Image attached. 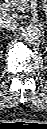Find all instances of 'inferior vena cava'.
Instances as JSON below:
<instances>
[{
    "instance_id": "602c4592",
    "label": "inferior vena cava",
    "mask_w": 47,
    "mask_h": 129,
    "mask_svg": "<svg viewBox=\"0 0 47 129\" xmlns=\"http://www.w3.org/2000/svg\"><path fill=\"white\" fill-rule=\"evenodd\" d=\"M0 27L7 29L9 31H13L18 27V23L15 18L11 16H2L0 20Z\"/></svg>"
}]
</instances>
